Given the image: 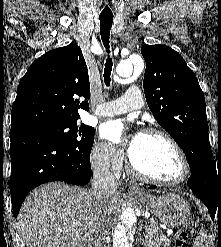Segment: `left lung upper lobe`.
<instances>
[{
    "instance_id": "5c2ea615",
    "label": "left lung upper lobe",
    "mask_w": 221,
    "mask_h": 247,
    "mask_svg": "<svg viewBox=\"0 0 221 247\" xmlns=\"http://www.w3.org/2000/svg\"><path fill=\"white\" fill-rule=\"evenodd\" d=\"M143 88L157 122L174 138L191 169L212 156L204 94L182 56L165 45H144Z\"/></svg>"
}]
</instances>
